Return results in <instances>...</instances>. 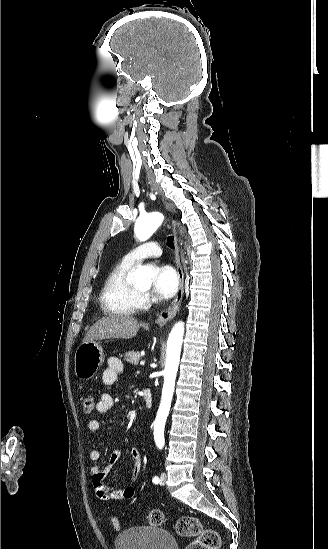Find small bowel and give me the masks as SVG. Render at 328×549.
I'll list each match as a JSON object with an SVG mask.
<instances>
[{
  "label": "small bowel",
  "mask_w": 328,
  "mask_h": 549,
  "mask_svg": "<svg viewBox=\"0 0 328 549\" xmlns=\"http://www.w3.org/2000/svg\"><path fill=\"white\" fill-rule=\"evenodd\" d=\"M123 365L116 357H111L108 361V367L102 373V382L106 386H112L116 383L118 374L122 372ZM114 399L112 395L104 393L101 395L96 404V410L99 413H107L112 409ZM101 428V424L97 419H91L88 422V429L91 432H97ZM121 456V449L115 447L109 457L108 463L104 468L98 464L101 452L98 449H92L89 452V460L91 462L89 472L95 494L102 501H121L130 500L135 495V487L130 484L122 489H113L104 483V478L108 471L115 465ZM130 456L133 461L132 480L136 481L142 469V453L140 449L133 446L130 450Z\"/></svg>",
  "instance_id": "small-bowel-1"
}]
</instances>
